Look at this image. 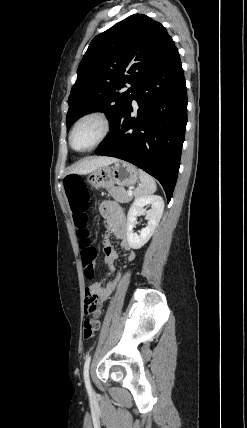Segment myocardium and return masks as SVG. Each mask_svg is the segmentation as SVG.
Returning <instances> with one entry per match:
<instances>
[{"mask_svg":"<svg viewBox=\"0 0 247 428\" xmlns=\"http://www.w3.org/2000/svg\"><path fill=\"white\" fill-rule=\"evenodd\" d=\"M88 119L98 120L101 123L102 131H101L99 138L91 146L84 148V149H78L73 144V135H74L77 127L82 122H84ZM110 131H111V120L108 117V115L101 110H92V111H89V112L82 114L81 116H79L75 120V122L73 123V125L71 127L70 133H69V144H70L71 148L77 152L92 151L95 148H97L99 145H101L107 139V137L110 134Z\"/></svg>","mask_w":247,"mask_h":428,"instance_id":"myocardium-1","label":"myocardium"}]
</instances>
